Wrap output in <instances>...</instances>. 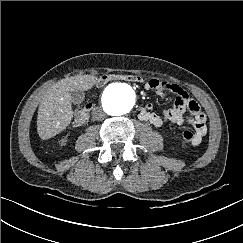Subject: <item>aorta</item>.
Segmentation results:
<instances>
[{"label": "aorta", "mask_w": 243, "mask_h": 243, "mask_svg": "<svg viewBox=\"0 0 243 243\" xmlns=\"http://www.w3.org/2000/svg\"><path fill=\"white\" fill-rule=\"evenodd\" d=\"M102 102L115 116L128 113L133 107L131 87L123 83L109 85L104 91Z\"/></svg>", "instance_id": "obj_1"}]
</instances>
